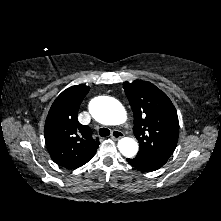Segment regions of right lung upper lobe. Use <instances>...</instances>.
<instances>
[{
  "label": "right lung upper lobe",
  "instance_id": "right-lung-upper-lobe-1",
  "mask_svg": "<svg viewBox=\"0 0 221 221\" xmlns=\"http://www.w3.org/2000/svg\"><path fill=\"white\" fill-rule=\"evenodd\" d=\"M90 88L84 84L64 90L53 102L45 122L48 152L59 166L75 169L93 158L99 146L91 129L78 122L79 106Z\"/></svg>",
  "mask_w": 221,
  "mask_h": 221
}]
</instances>
